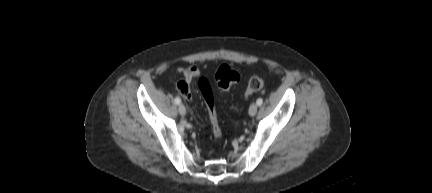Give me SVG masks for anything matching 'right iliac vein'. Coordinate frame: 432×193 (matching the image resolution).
Here are the masks:
<instances>
[{
  "mask_svg": "<svg viewBox=\"0 0 432 193\" xmlns=\"http://www.w3.org/2000/svg\"><path fill=\"white\" fill-rule=\"evenodd\" d=\"M178 111L181 115H185L186 114V108L183 104H180L178 107Z\"/></svg>",
  "mask_w": 432,
  "mask_h": 193,
  "instance_id": "1",
  "label": "right iliac vein"
}]
</instances>
